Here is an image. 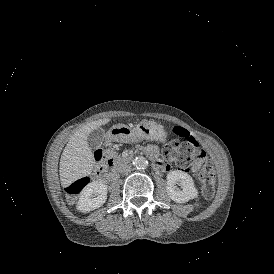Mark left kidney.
Here are the masks:
<instances>
[{
    "label": "left kidney",
    "mask_w": 274,
    "mask_h": 274,
    "mask_svg": "<svg viewBox=\"0 0 274 274\" xmlns=\"http://www.w3.org/2000/svg\"><path fill=\"white\" fill-rule=\"evenodd\" d=\"M181 186L180 190L176 185ZM166 192L176 203H185L198 196L192 177L186 172L175 170L167 174Z\"/></svg>",
    "instance_id": "5707ae66"
}]
</instances>
